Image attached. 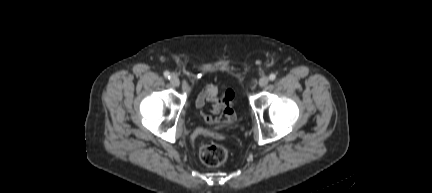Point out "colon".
<instances>
[{
	"mask_svg": "<svg viewBox=\"0 0 432 193\" xmlns=\"http://www.w3.org/2000/svg\"><path fill=\"white\" fill-rule=\"evenodd\" d=\"M234 99V92L226 90L222 97V102L231 108ZM229 156L228 147L219 142H209L200 149L201 160L208 166L214 167L226 162Z\"/></svg>",
	"mask_w": 432,
	"mask_h": 193,
	"instance_id": "1",
	"label": "colon"
}]
</instances>
